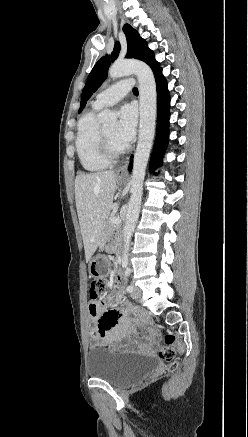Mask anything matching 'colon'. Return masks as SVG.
<instances>
[{"instance_id": "obj_1", "label": "colon", "mask_w": 248, "mask_h": 437, "mask_svg": "<svg viewBox=\"0 0 248 437\" xmlns=\"http://www.w3.org/2000/svg\"><path fill=\"white\" fill-rule=\"evenodd\" d=\"M110 288V280L106 279H91L90 281V297L93 300H100L104 297ZM160 358L169 364V369L174 370L178 363L176 357L183 351V346L174 334H167L164 337V345L158 349Z\"/></svg>"}]
</instances>
